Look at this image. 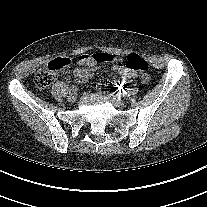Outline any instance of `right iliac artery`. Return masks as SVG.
<instances>
[{
    "instance_id": "right-iliac-artery-1",
    "label": "right iliac artery",
    "mask_w": 207,
    "mask_h": 207,
    "mask_svg": "<svg viewBox=\"0 0 207 207\" xmlns=\"http://www.w3.org/2000/svg\"><path fill=\"white\" fill-rule=\"evenodd\" d=\"M78 91V87L76 85H73L70 90H69V93L70 94H76Z\"/></svg>"
}]
</instances>
